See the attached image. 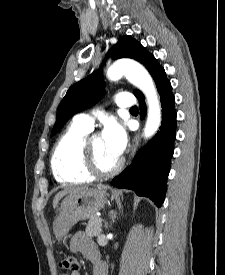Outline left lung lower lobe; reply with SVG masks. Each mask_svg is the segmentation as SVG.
<instances>
[{"label": "left lung lower lobe", "instance_id": "left-lung-lower-lobe-1", "mask_svg": "<svg viewBox=\"0 0 225 275\" xmlns=\"http://www.w3.org/2000/svg\"><path fill=\"white\" fill-rule=\"evenodd\" d=\"M162 105V123L157 134L141 148L132 164L115 177L111 184L118 188L135 191L139 196H146L161 207L167 188L173 144L176 132L175 98L170 81L162 69L154 79ZM139 109L144 117L146 106L143 94H140Z\"/></svg>", "mask_w": 225, "mask_h": 275}]
</instances>
